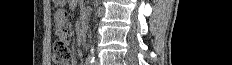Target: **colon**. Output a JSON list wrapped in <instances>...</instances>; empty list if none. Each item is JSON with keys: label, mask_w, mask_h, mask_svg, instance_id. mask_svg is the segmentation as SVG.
<instances>
[{"label": "colon", "mask_w": 232, "mask_h": 65, "mask_svg": "<svg viewBox=\"0 0 232 65\" xmlns=\"http://www.w3.org/2000/svg\"><path fill=\"white\" fill-rule=\"evenodd\" d=\"M71 58V51L67 41L58 40L53 45V59L57 64H63Z\"/></svg>", "instance_id": "1"}]
</instances>
